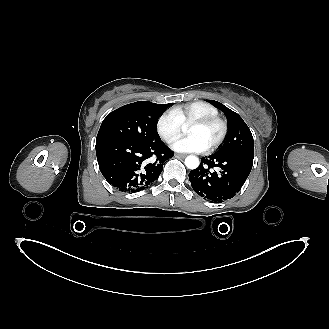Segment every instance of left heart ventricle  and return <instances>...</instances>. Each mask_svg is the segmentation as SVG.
Returning <instances> with one entry per match:
<instances>
[{"instance_id":"b2bd125f","label":"left heart ventricle","mask_w":329,"mask_h":329,"mask_svg":"<svg viewBox=\"0 0 329 329\" xmlns=\"http://www.w3.org/2000/svg\"><path fill=\"white\" fill-rule=\"evenodd\" d=\"M188 135L198 136L208 148L219 136L220 126L216 123L206 126L190 125L187 127Z\"/></svg>"}]
</instances>
